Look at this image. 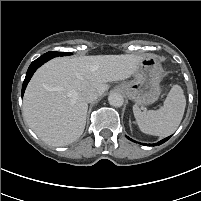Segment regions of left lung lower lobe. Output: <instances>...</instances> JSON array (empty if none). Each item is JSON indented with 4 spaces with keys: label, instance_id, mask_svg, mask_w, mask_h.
Returning a JSON list of instances; mask_svg holds the SVG:
<instances>
[{
    "label": "left lung lower lobe",
    "instance_id": "1",
    "mask_svg": "<svg viewBox=\"0 0 201 201\" xmlns=\"http://www.w3.org/2000/svg\"><path fill=\"white\" fill-rule=\"evenodd\" d=\"M129 140H131V141H133L132 139H130L129 137H127ZM170 138V136L169 137H167V138H165V139H163V140H161V141H159L158 143H156V144H149V146H155V145H161V144H163L164 142H166L168 139ZM135 142V141H134ZM141 144H143L144 145V143H141Z\"/></svg>",
    "mask_w": 201,
    "mask_h": 201
}]
</instances>
